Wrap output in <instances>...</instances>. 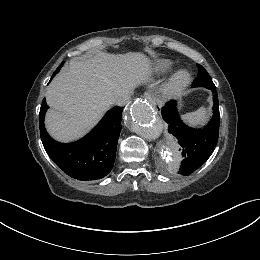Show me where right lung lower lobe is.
<instances>
[{
    "instance_id": "1",
    "label": "right lung lower lobe",
    "mask_w": 260,
    "mask_h": 260,
    "mask_svg": "<svg viewBox=\"0 0 260 260\" xmlns=\"http://www.w3.org/2000/svg\"><path fill=\"white\" fill-rule=\"evenodd\" d=\"M59 70L57 68L52 78ZM47 109L44 99L39 113V126L41 140L49 157L72 178L89 181L105 177L114 165L123 108L113 107L90 133L69 144L59 143L48 135L44 125Z\"/></svg>"
}]
</instances>
